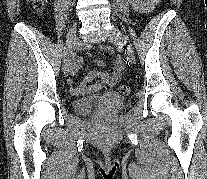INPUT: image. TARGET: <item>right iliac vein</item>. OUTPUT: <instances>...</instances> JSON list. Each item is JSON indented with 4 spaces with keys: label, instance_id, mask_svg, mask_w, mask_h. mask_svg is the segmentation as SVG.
<instances>
[{
    "label": "right iliac vein",
    "instance_id": "obj_1",
    "mask_svg": "<svg viewBox=\"0 0 207 179\" xmlns=\"http://www.w3.org/2000/svg\"><path fill=\"white\" fill-rule=\"evenodd\" d=\"M76 42V29L71 28L68 37H67V47H66V57L64 59V64H63V72L64 75L67 76L69 74V64H70V57L72 56V53L74 51V46Z\"/></svg>",
    "mask_w": 207,
    "mask_h": 179
}]
</instances>
